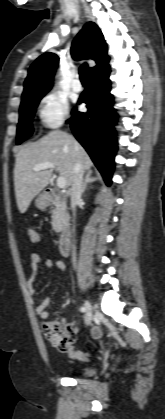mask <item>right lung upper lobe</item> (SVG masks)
Here are the masks:
<instances>
[{
    "label": "right lung upper lobe",
    "mask_w": 165,
    "mask_h": 419,
    "mask_svg": "<svg viewBox=\"0 0 165 419\" xmlns=\"http://www.w3.org/2000/svg\"><path fill=\"white\" fill-rule=\"evenodd\" d=\"M71 55L75 60L90 58L96 62L97 65L89 69L90 77L109 69L107 45L100 29L93 22L86 23L75 37ZM57 64L58 57L54 53L43 54L35 60L24 82L22 101L50 90Z\"/></svg>",
    "instance_id": "obj_1"
}]
</instances>
